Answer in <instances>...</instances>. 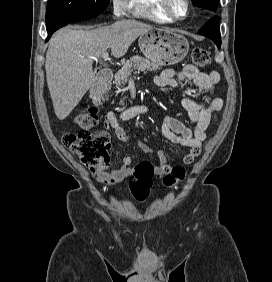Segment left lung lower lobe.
Masks as SVG:
<instances>
[{
    "label": "left lung lower lobe",
    "instance_id": "0a47b994",
    "mask_svg": "<svg viewBox=\"0 0 272 282\" xmlns=\"http://www.w3.org/2000/svg\"><path fill=\"white\" fill-rule=\"evenodd\" d=\"M199 33L213 40L217 47L220 49L221 37L218 18H213L207 25L199 30Z\"/></svg>",
    "mask_w": 272,
    "mask_h": 282
}]
</instances>
